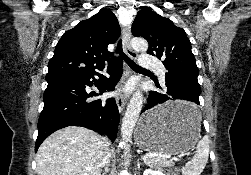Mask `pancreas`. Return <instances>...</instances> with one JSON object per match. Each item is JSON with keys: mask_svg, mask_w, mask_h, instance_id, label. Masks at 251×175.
I'll use <instances>...</instances> for the list:
<instances>
[{"mask_svg": "<svg viewBox=\"0 0 251 175\" xmlns=\"http://www.w3.org/2000/svg\"><path fill=\"white\" fill-rule=\"evenodd\" d=\"M146 163L149 167H156V169H162V167H167V165H173L174 161H170V159H163V157H158V155H154V157H146Z\"/></svg>", "mask_w": 251, "mask_h": 175, "instance_id": "obj_1", "label": "pancreas"}]
</instances>
